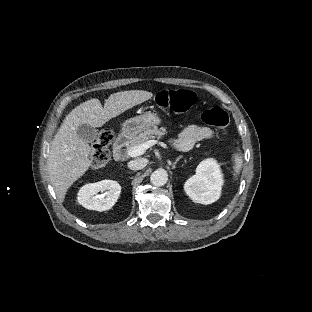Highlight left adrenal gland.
Instances as JSON below:
<instances>
[{"mask_svg": "<svg viewBox=\"0 0 312 312\" xmlns=\"http://www.w3.org/2000/svg\"><path fill=\"white\" fill-rule=\"evenodd\" d=\"M181 158H182V156L177 157L176 160H175V162H174L173 164H171V163L169 162V165H172V169H175V165L177 164V162H178Z\"/></svg>", "mask_w": 312, "mask_h": 312, "instance_id": "left-adrenal-gland-1", "label": "left adrenal gland"}]
</instances>
